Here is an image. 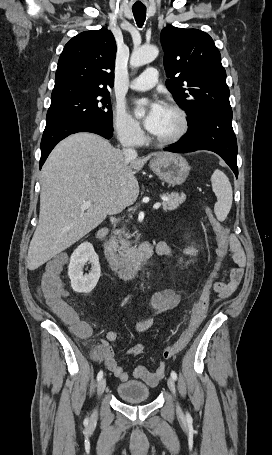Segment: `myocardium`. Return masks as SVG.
Wrapping results in <instances>:
<instances>
[{"instance_id":"1","label":"myocardium","mask_w":272,"mask_h":455,"mask_svg":"<svg viewBox=\"0 0 272 455\" xmlns=\"http://www.w3.org/2000/svg\"><path fill=\"white\" fill-rule=\"evenodd\" d=\"M165 107L171 109L173 112L176 113L178 120H179V127H178L177 131L169 137L161 138V137H156L153 135L152 140L157 145H160V146H168V145H172V144L179 142L186 135V133L189 130L188 115H187L186 111L179 104H177L175 102H167L165 104Z\"/></svg>"}]
</instances>
